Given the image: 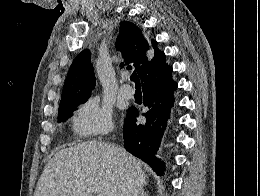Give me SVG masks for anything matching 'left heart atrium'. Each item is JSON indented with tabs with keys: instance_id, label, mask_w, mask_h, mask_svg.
<instances>
[{
	"instance_id": "obj_1",
	"label": "left heart atrium",
	"mask_w": 260,
	"mask_h": 196,
	"mask_svg": "<svg viewBox=\"0 0 260 196\" xmlns=\"http://www.w3.org/2000/svg\"><path fill=\"white\" fill-rule=\"evenodd\" d=\"M108 192H124V190H108Z\"/></svg>"
}]
</instances>
